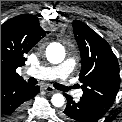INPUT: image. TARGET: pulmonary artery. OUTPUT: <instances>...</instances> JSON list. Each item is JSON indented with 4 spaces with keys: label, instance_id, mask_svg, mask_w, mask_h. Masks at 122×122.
<instances>
[{
    "label": "pulmonary artery",
    "instance_id": "e3ab8cb5",
    "mask_svg": "<svg viewBox=\"0 0 122 122\" xmlns=\"http://www.w3.org/2000/svg\"><path fill=\"white\" fill-rule=\"evenodd\" d=\"M75 64L76 62L73 58H68L56 66H39L29 68L27 73L39 79H60L62 85L67 87L68 91H72L75 96L80 97L82 95V91H73L72 85L67 80L70 73L73 71Z\"/></svg>",
    "mask_w": 122,
    "mask_h": 122
}]
</instances>
